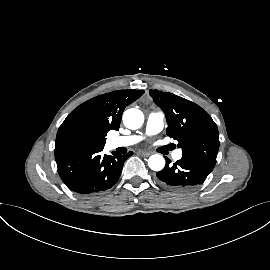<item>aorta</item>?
Segmentation results:
<instances>
[{
	"instance_id": "762f6f07",
	"label": "aorta",
	"mask_w": 270,
	"mask_h": 270,
	"mask_svg": "<svg viewBox=\"0 0 270 270\" xmlns=\"http://www.w3.org/2000/svg\"><path fill=\"white\" fill-rule=\"evenodd\" d=\"M143 112L136 108L128 109L123 114V123L129 129H138L143 125ZM148 166L151 170L160 171L165 166V159L158 154L152 155L148 159Z\"/></svg>"
}]
</instances>
